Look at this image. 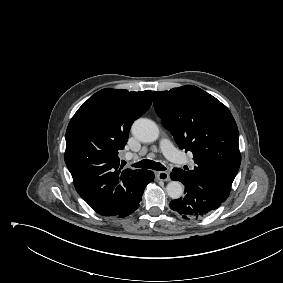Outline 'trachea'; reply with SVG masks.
I'll return each mask as SVG.
<instances>
[{"mask_svg":"<svg viewBox=\"0 0 283 283\" xmlns=\"http://www.w3.org/2000/svg\"><path fill=\"white\" fill-rule=\"evenodd\" d=\"M132 166L136 168H147V169L150 168V169L157 170V171L166 170V168L161 163L155 162L153 160H148V159L141 160L137 163H134Z\"/></svg>","mask_w":283,"mask_h":283,"instance_id":"trachea-1","label":"trachea"}]
</instances>
